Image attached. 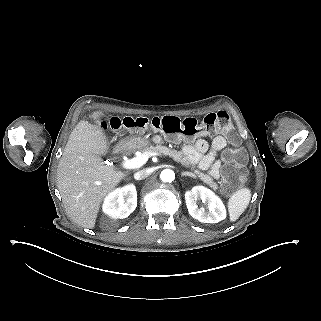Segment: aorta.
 Masks as SVG:
<instances>
[{
    "mask_svg": "<svg viewBox=\"0 0 321 321\" xmlns=\"http://www.w3.org/2000/svg\"><path fill=\"white\" fill-rule=\"evenodd\" d=\"M160 178L163 182H172L175 179V173L170 169L161 172Z\"/></svg>",
    "mask_w": 321,
    "mask_h": 321,
    "instance_id": "aorta-1",
    "label": "aorta"
}]
</instances>
